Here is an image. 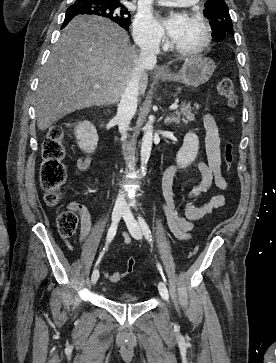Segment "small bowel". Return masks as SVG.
Here are the masks:
<instances>
[{
    "mask_svg": "<svg viewBox=\"0 0 276 363\" xmlns=\"http://www.w3.org/2000/svg\"><path fill=\"white\" fill-rule=\"evenodd\" d=\"M202 123L206 130V154L207 162L197 161L193 166L201 175L200 181L195 185L188 194L187 200L183 206L182 212L178 210L175 195L173 191V182L178 167L175 165L169 166L162 176V192L164 201L162 209L165 214L169 230L175 238L181 241H188L193 237L195 223L211 213L212 210L222 207L225 204V197L222 194H217L211 200L203 205L196 206L193 201L205 192L213 183L221 190L228 188V183L221 174V144L222 135L215 122V119L210 114L202 116ZM92 158L79 157L76 162L77 171L86 170L91 164ZM70 208L76 211L80 216L81 230L79 240H84L91 230V215L88 208L81 203H72ZM124 244L129 245L131 238L124 234ZM104 277L110 282H118L123 274L119 272L103 271Z\"/></svg>",
    "mask_w": 276,
    "mask_h": 363,
    "instance_id": "c3829d8e",
    "label": "small bowel"
}]
</instances>
